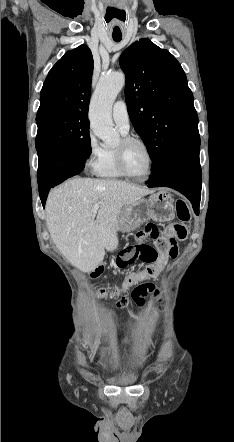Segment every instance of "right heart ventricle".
<instances>
[{
    "mask_svg": "<svg viewBox=\"0 0 234 442\" xmlns=\"http://www.w3.org/2000/svg\"><path fill=\"white\" fill-rule=\"evenodd\" d=\"M96 173L106 179H119L123 177L116 165L114 149L104 148V156Z\"/></svg>",
    "mask_w": 234,
    "mask_h": 442,
    "instance_id": "right-heart-ventricle-1",
    "label": "right heart ventricle"
}]
</instances>
